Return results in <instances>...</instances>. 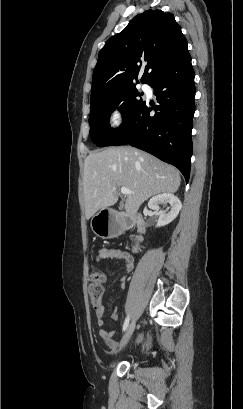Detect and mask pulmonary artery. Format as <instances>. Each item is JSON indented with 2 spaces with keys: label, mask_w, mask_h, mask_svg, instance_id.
<instances>
[{
  "label": "pulmonary artery",
  "mask_w": 243,
  "mask_h": 409,
  "mask_svg": "<svg viewBox=\"0 0 243 409\" xmlns=\"http://www.w3.org/2000/svg\"><path fill=\"white\" fill-rule=\"evenodd\" d=\"M142 88H143V89H146L147 87H146V85H142Z\"/></svg>",
  "instance_id": "pulmonary-artery-1"
}]
</instances>
